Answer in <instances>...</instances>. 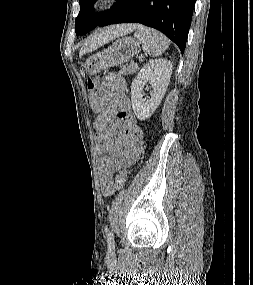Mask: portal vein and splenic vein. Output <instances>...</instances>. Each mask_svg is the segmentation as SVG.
Instances as JSON below:
<instances>
[{
  "mask_svg": "<svg viewBox=\"0 0 253 285\" xmlns=\"http://www.w3.org/2000/svg\"><path fill=\"white\" fill-rule=\"evenodd\" d=\"M139 60L142 61V60H143V56H140V57H139Z\"/></svg>",
  "mask_w": 253,
  "mask_h": 285,
  "instance_id": "obj_1",
  "label": "portal vein and splenic vein"
}]
</instances>
